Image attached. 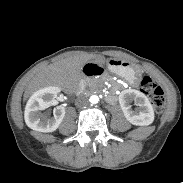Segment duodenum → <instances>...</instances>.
I'll list each match as a JSON object with an SVG mask.
<instances>
[{"label": "duodenum", "instance_id": "1", "mask_svg": "<svg viewBox=\"0 0 183 183\" xmlns=\"http://www.w3.org/2000/svg\"><path fill=\"white\" fill-rule=\"evenodd\" d=\"M83 75L86 78H96L103 75V69L96 64L86 65L83 68Z\"/></svg>", "mask_w": 183, "mask_h": 183}]
</instances>
